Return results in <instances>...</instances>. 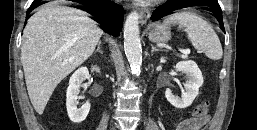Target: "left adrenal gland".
Listing matches in <instances>:
<instances>
[{
    "label": "left adrenal gland",
    "instance_id": "a2214340",
    "mask_svg": "<svg viewBox=\"0 0 257 130\" xmlns=\"http://www.w3.org/2000/svg\"><path fill=\"white\" fill-rule=\"evenodd\" d=\"M151 48H152L151 53L158 52V51H163L162 49H157L153 45H151Z\"/></svg>",
    "mask_w": 257,
    "mask_h": 130
}]
</instances>
